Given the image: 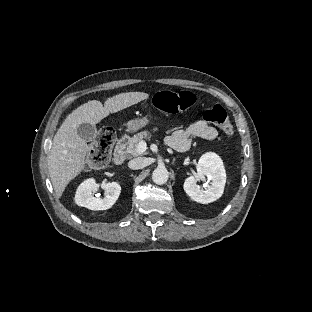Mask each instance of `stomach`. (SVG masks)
<instances>
[{
  "label": "stomach",
  "instance_id": "0dacf381",
  "mask_svg": "<svg viewBox=\"0 0 312 312\" xmlns=\"http://www.w3.org/2000/svg\"><path fill=\"white\" fill-rule=\"evenodd\" d=\"M151 123V119L148 117H141L129 120L125 127L126 131L130 134L136 133L137 131L147 127Z\"/></svg>",
  "mask_w": 312,
  "mask_h": 312
}]
</instances>
